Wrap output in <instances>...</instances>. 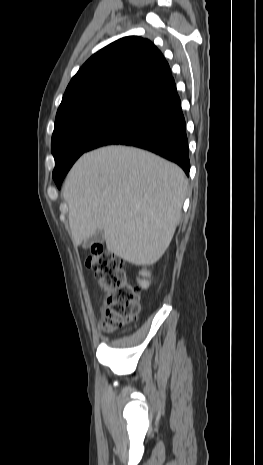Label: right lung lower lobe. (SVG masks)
<instances>
[{
	"instance_id": "right-lung-lower-lobe-1",
	"label": "right lung lower lobe",
	"mask_w": 263,
	"mask_h": 465,
	"mask_svg": "<svg viewBox=\"0 0 263 465\" xmlns=\"http://www.w3.org/2000/svg\"><path fill=\"white\" fill-rule=\"evenodd\" d=\"M111 144L149 150L175 162L189 174L186 123L172 76L136 97L128 110L92 143L89 150ZM62 180L56 182L58 188Z\"/></svg>"
}]
</instances>
